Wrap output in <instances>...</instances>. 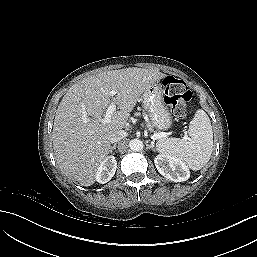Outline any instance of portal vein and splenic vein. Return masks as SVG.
<instances>
[{"mask_svg":"<svg viewBox=\"0 0 257 257\" xmlns=\"http://www.w3.org/2000/svg\"><path fill=\"white\" fill-rule=\"evenodd\" d=\"M110 95L114 96L116 94V92L114 90H111L109 92ZM116 110V105L114 103H111L106 112H105V116H104V121L107 122L109 121L111 115L113 114V112ZM167 136V133H164V132H161V133H157V134H154L151 136V138L153 140H157V139H160V138H163V137H166Z\"/></svg>","mask_w":257,"mask_h":257,"instance_id":"1","label":"portal vein and splenic vein"}]
</instances>
